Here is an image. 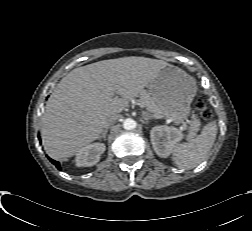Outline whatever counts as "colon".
Instances as JSON below:
<instances>
[{
	"instance_id": "1",
	"label": "colon",
	"mask_w": 252,
	"mask_h": 231,
	"mask_svg": "<svg viewBox=\"0 0 252 231\" xmlns=\"http://www.w3.org/2000/svg\"><path fill=\"white\" fill-rule=\"evenodd\" d=\"M195 109L197 110L199 116L207 121L212 117V111L206 106L203 100H197L195 103Z\"/></svg>"
}]
</instances>
